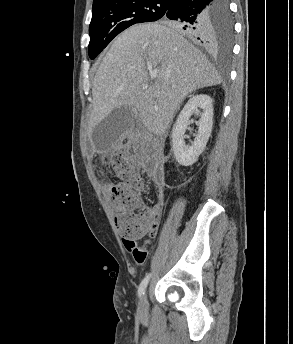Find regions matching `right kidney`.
I'll use <instances>...</instances> for the list:
<instances>
[{
	"mask_svg": "<svg viewBox=\"0 0 293 344\" xmlns=\"http://www.w3.org/2000/svg\"><path fill=\"white\" fill-rule=\"evenodd\" d=\"M192 114L200 119L196 122L198 133L192 145H186L184 134L189 125ZM213 125V104L210 96L206 94L191 97L184 105L172 129V150L176 161L182 166H191L204 151L211 136Z\"/></svg>",
	"mask_w": 293,
	"mask_h": 344,
	"instance_id": "obj_1",
	"label": "right kidney"
}]
</instances>
